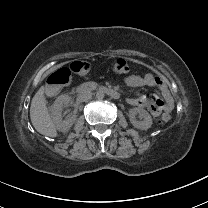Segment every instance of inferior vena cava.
<instances>
[{
	"label": "inferior vena cava",
	"instance_id": "1",
	"mask_svg": "<svg viewBox=\"0 0 208 208\" xmlns=\"http://www.w3.org/2000/svg\"><path fill=\"white\" fill-rule=\"evenodd\" d=\"M92 92L89 90H82L78 95V100L81 102H87L91 99Z\"/></svg>",
	"mask_w": 208,
	"mask_h": 208
}]
</instances>
